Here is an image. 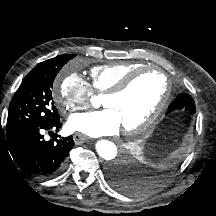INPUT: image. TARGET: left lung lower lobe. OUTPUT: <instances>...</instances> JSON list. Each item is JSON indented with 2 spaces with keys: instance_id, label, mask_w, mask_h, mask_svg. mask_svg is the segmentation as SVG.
<instances>
[{
  "instance_id": "0a47b994",
  "label": "left lung lower lobe",
  "mask_w": 216,
  "mask_h": 216,
  "mask_svg": "<svg viewBox=\"0 0 216 216\" xmlns=\"http://www.w3.org/2000/svg\"><path fill=\"white\" fill-rule=\"evenodd\" d=\"M180 96L181 97H177L168 107V114L175 110H179L184 105L183 99H186L189 95L181 93ZM108 178L111 184L121 192L127 193L133 189L134 182L132 180V176L119 166L113 165L108 169Z\"/></svg>"
}]
</instances>
